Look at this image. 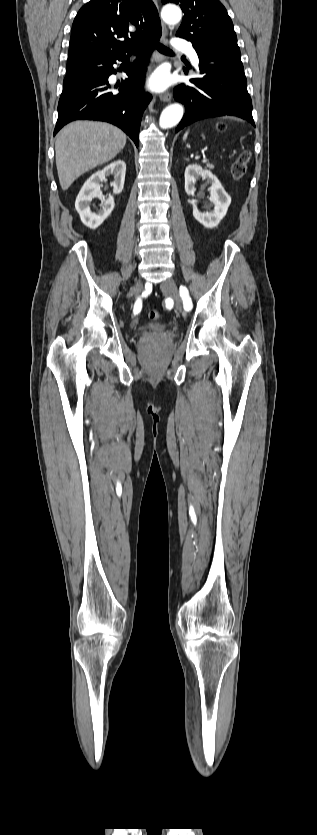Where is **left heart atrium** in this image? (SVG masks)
<instances>
[{
  "label": "left heart atrium",
  "mask_w": 317,
  "mask_h": 835,
  "mask_svg": "<svg viewBox=\"0 0 317 835\" xmlns=\"http://www.w3.org/2000/svg\"><path fill=\"white\" fill-rule=\"evenodd\" d=\"M167 84L168 80L166 75L160 71L154 73L149 80V86L154 90H162Z\"/></svg>",
  "instance_id": "left-heart-atrium-1"
}]
</instances>
